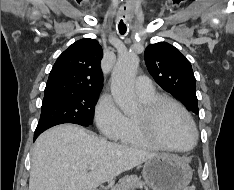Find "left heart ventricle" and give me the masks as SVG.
Instances as JSON below:
<instances>
[{"label": "left heart ventricle", "mask_w": 234, "mask_h": 190, "mask_svg": "<svg viewBox=\"0 0 234 190\" xmlns=\"http://www.w3.org/2000/svg\"><path fill=\"white\" fill-rule=\"evenodd\" d=\"M157 130L164 142L174 147L185 148L193 141V132L189 122L174 107H167L162 111Z\"/></svg>", "instance_id": "1"}]
</instances>
